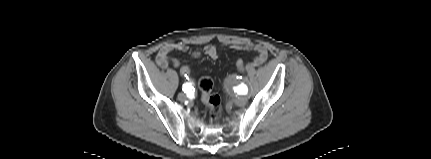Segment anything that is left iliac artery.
Masks as SVG:
<instances>
[{
  "mask_svg": "<svg viewBox=\"0 0 431 159\" xmlns=\"http://www.w3.org/2000/svg\"><path fill=\"white\" fill-rule=\"evenodd\" d=\"M239 89H240V93L241 94H246L247 93V87H246V85H240V87H239Z\"/></svg>",
  "mask_w": 431,
  "mask_h": 159,
  "instance_id": "left-iliac-artery-1",
  "label": "left iliac artery"
}]
</instances>
